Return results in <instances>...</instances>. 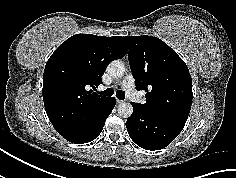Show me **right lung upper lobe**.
Masks as SVG:
<instances>
[{
	"instance_id": "cb5924a9",
	"label": "right lung upper lobe",
	"mask_w": 236,
	"mask_h": 178,
	"mask_svg": "<svg viewBox=\"0 0 236 178\" xmlns=\"http://www.w3.org/2000/svg\"><path fill=\"white\" fill-rule=\"evenodd\" d=\"M127 53L124 37L76 34L63 42L46 63L43 101L55 130L62 136L95 123L111 98L98 95L110 61Z\"/></svg>"
}]
</instances>
